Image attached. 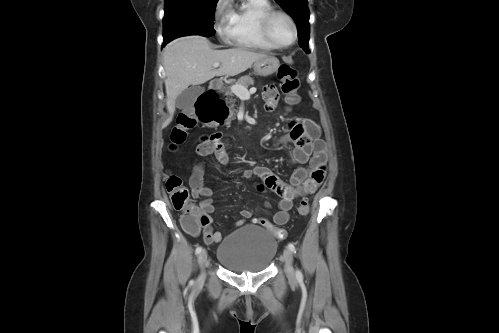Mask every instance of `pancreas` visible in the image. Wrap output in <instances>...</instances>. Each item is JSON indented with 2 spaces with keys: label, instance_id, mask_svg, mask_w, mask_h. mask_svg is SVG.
I'll return each mask as SVG.
<instances>
[{
  "label": "pancreas",
  "instance_id": "1",
  "mask_svg": "<svg viewBox=\"0 0 499 333\" xmlns=\"http://www.w3.org/2000/svg\"><path fill=\"white\" fill-rule=\"evenodd\" d=\"M236 84L238 85H242L244 87H248V86H251V85H254V79L252 77H250L249 75H246V76H242L240 77ZM225 92V95L228 96L229 98L226 99V102L228 104H230L229 108H230V117H233L234 116V112L236 111L234 109V106H235V99H233V92L229 89H224L222 90Z\"/></svg>",
  "mask_w": 499,
  "mask_h": 333
}]
</instances>
